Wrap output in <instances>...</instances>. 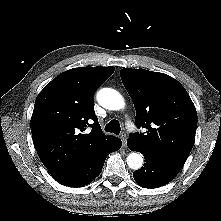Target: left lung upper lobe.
Instances as JSON below:
<instances>
[{
  "instance_id": "obj_1",
  "label": "left lung upper lobe",
  "mask_w": 221,
  "mask_h": 221,
  "mask_svg": "<svg viewBox=\"0 0 221 221\" xmlns=\"http://www.w3.org/2000/svg\"><path fill=\"white\" fill-rule=\"evenodd\" d=\"M121 80L135 109V123L145 133L128 141L160 160L181 168L195 141L197 113L187 91L174 78L158 72L122 69Z\"/></svg>"
}]
</instances>
